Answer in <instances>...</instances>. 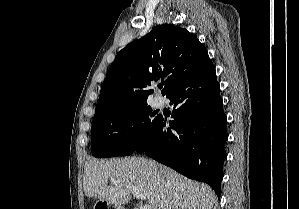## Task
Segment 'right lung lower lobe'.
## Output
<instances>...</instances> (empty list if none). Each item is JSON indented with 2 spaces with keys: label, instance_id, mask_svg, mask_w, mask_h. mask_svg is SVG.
Segmentation results:
<instances>
[{
  "label": "right lung lower lobe",
  "instance_id": "98d812e1",
  "mask_svg": "<svg viewBox=\"0 0 299 209\" xmlns=\"http://www.w3.org/2000/svg\"><path fill=\"white\" fill-rule=\"evenodd\" d=\"M166 97L173 107L170 127L158 116L134 152L208 183L219 198L228 136L215 71L185 78Z\"/></svg>",
  "mask_w": 299,
  "mask_h": 209
}]
</instances>
